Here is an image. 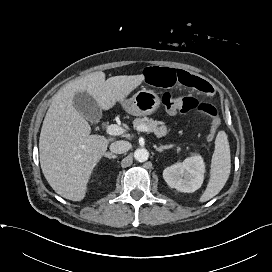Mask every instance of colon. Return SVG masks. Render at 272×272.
Returning a JSON list of instances; mask_svg holds the SVG:
<instances>
[{
  "label": "colon",
  "instance_id": "colon-1",
  "mask_svg": "<svg viewBox=\"0 0 272 272\" xmlns=\"http://www.w3.org/2000/svg\"><path fill=\"white\" fill-rule=\"evenodd\" d=\"M162 103L169 113H188L196 111L212 118L208 139L212 140L220 126L217 109L210 103L201 102L191 96L164 93Z\"/></svg>",
  "mask_w": 272,
  "mask_h": 272
}]
</instances>
